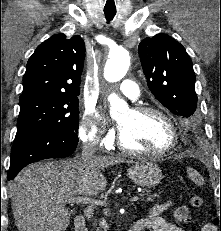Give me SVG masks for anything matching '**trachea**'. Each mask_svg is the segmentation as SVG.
Here are the masks:
<instances>
[{"label": "trachea", "instance_id": "trachea-1", "mask_svg": "<svg viewBox=\"0 0 221 231\" xmlns=\"http://www.w3.org/2000/svg\"><path fill=\"white\" fill-rule=\"evenodd\" d=\"M106 20L110 22L116 15V11L104 10Z\"/></svg>", "mask_w": 221, "mask_h": 231}]
</instances>
